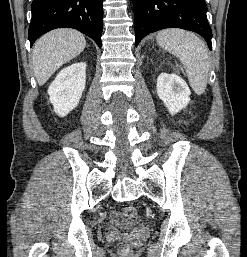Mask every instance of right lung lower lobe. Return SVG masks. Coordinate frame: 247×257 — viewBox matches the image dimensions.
I'll use <instances>...</instances> for the list:
<instances>
[{
	"instance_id": "1",
	"label": "right lung lower lobe",
	"mask_w": 247,
	"mask_h": 257,
	"mask_svg": "<svg viewBox=\"0 0 247 257\" xmlns=\"http://www.w3.org/2000/svg\"><path fill=\"white\" fill-rule=\"evenodd\" d=\"M102 3L103 0H33L30 45L44 33L66 27L86 34L101 47Z\"/></svg>"
}]
</instances>
